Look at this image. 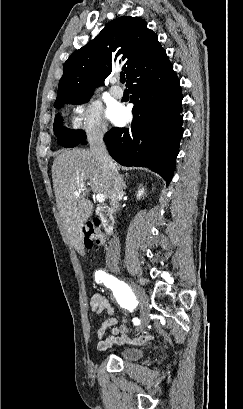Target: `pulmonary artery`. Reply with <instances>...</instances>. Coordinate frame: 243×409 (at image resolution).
Segmentation results:
<instances>
[{
  "label": "pulmonary artery",
  "instance_id": "obj_1",
  "mask_svg": "<svg viewBox=\"0 0 243 409\" xmlns=\"http://www.w3.org/2000/svg\"><path fill=\"white\" fill-rule=\"evenodd\" d=\"M116 82V79L114 78L113 79V83H115ZM110 94L114 97V98H121L122 96H123V90L119 87V86H117V85H113L111 88H110Z\"/></svg>",
  "mask_w": 243,
  "mask_h": 409
}]
</instances>
